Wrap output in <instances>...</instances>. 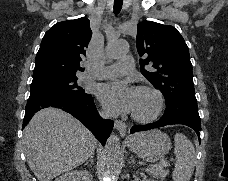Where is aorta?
<instances>
[{
	"instance_id": "obj_1",
	"label": "aorta",
	"mask_w": 228,
	"mask_h": 181,
	"mask_svg": "<svg viewBox=\"0 0 228 181\" xmlns=\"http://www.w3.org/2000/svg\"><path fill=\"white\" fill-rule=\"evenodd\" d=\"M128 51V44L124 40H113L108 43L107 55L117 59L124 56ZM120 155V140L116 135H111L105 146L106 164L110 169H115Z\"/></svg>"
}]
</instances>
